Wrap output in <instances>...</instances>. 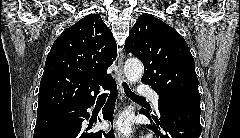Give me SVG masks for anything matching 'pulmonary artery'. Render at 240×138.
Segmentation results:
<instances>
[{
  "label": "pulmonary artery",
  "mask_w": 240,
  "mask_h": 138,
  "mask_svg": "<svg viewBox=\"0 0 240 138\" xmlns=\"http://www.w3.org/2000/svg\"><path fill=\"white\" fill-rule=\"evenodd\" d=\"M139 94L141 96H146L148 97L152 103L154 104V106L157 108L158 107V100H159V96L158 94L152 90L150 87L147 86H141L139 89Z\"/></svg>",
  "instance_id": "pulmonary-artery-1"
}]
</instances>
